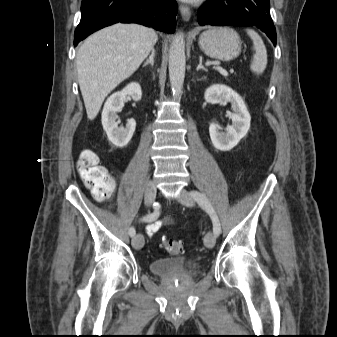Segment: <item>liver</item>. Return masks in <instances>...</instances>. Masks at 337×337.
Segmentation results:
<instances>
[{"mask_svg": "<svg viewBox=\"0 0 337 337\" xmlns=\"http://www.w3.org/2000/svg\"><path fill=\"white\" fill-rule=\"evenodd\" d=\"M157 40L151 28L118 23L84 41L78 49L76 65L90 120L97 116L106 96L139 68Z\"/></svg>", "mask_w": 337, "mask_h": 337, "instance_id": "liver-1", "label": "liver"}]
</instances>
